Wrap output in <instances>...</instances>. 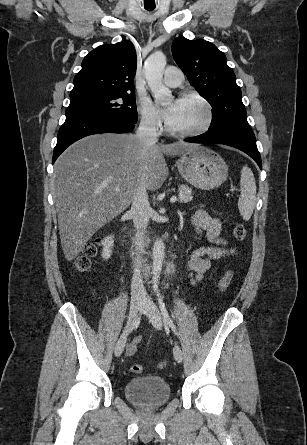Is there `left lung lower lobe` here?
<instances>
[{"label": "left lung lower lobe", "mask_w": 307, "mask_h": 445, "mask_svg": "<svg viewBox=\"0 0 307 445\" xmlns=\"http://www.w3.org/2000/svg\"><path fill=\"white\" fill-rule=\"evenodd\" d=\"M186 142L224 144L237 148L253 158L262 168L260 153L252 129L241 127H226L215 131H207L199 136L184 139Z\"/></svg>", "instance_id": "1"}]
</instances>
